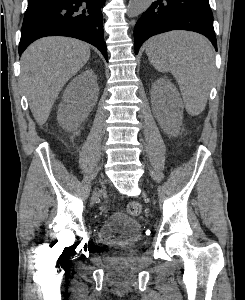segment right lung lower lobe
<instances>
[{"label":"right lung lower lobe","mask_w":245,"mask_h":300,"mask_svg":"<svg viewBox=\"0 0 245 300\" xmlns=\"http://www.w3.org/2000/svg\"><path fill=\"white\" fill-rule=\"evenodd\" d=\"M105 0H42L28 5L19 54L38 38L68 36L97 47L108 61L101 7Z\"/></svg>","instance_id":"1"}]
</instances>
